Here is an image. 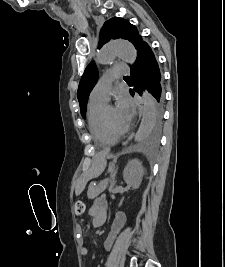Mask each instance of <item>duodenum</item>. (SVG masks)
Here are the masks:
<instances>
[{"instance_id":"obj_1","label":"duodenum","mask_w":225,"mask_h":267,"mask_svg":"<svg viewBox=\"0 0 225 267\" xmlns=\"http://www.w3.org/2000/svg\"><path fill=\"white\" fill-rule=\"evenodd\" d=\"M105 222V214L103 212L99 213L94 219L93 224L95 227L102 225Z\"/></svg>"}]
</instances>
